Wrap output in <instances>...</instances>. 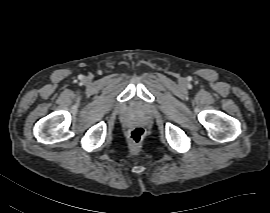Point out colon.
<instances>
[{
	"label": "colon",
	"mask_w": 270,
	"mask_h": 213,
	"mask_svg": "<svg viewBox=\"0 0 270 213\" xmlns=\"http://www.w3.org/2000/svg\"><path fill=\"white\" fill-rule=\"evenodd\" d=\"M145 137V130L141 127H136L130 131L129 139L132 145L139 147Z\"/></svg>",
	"instance_id": "obj_1"
}]
</instances>
